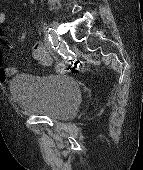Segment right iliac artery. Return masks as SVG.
Segmentation results:
<instances>
[{
  "mask_svg": "<svg viewBox=\"0 0 143 170\" xmlns=\"http://www.w3.org/2000/svg\"><path fill=\"white\" fill-rule=\"evenodd\" d=\"M46 34L48 35L49 40L51 41L52 48L57 50L60 45V42H59L60 40H58V38L56 36L55 37L53 36L52 28H48L46 31Z\"/></svg>",
  "mask_w": 143,
  "mask_h": 170,
  "instance_id": "1",
  "label": "right iliac artery"
}]
</instances>
